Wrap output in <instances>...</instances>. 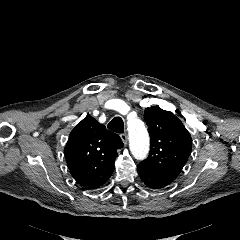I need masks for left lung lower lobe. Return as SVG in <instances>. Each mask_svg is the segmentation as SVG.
I'll use <instances>...</instances> for the list:
<instances>
[{"label": "left lung lower lobe", "mask_w": 240, "mask_h": 240, "mask_svg": "<svg viewBox=\"0 0 240 240\" xmlns=\"http://www.w3.org/2000/svg\"><path fill=\"white\" fill-rule=\"evenodd\" d=\"M138 174L146 186L152 189H162L170 185L173 181L155 172L148 166L140 163L137 167Z\"/></svg>", "instance_id": "left-lung-lower-lobe-1"}]
</instances>
